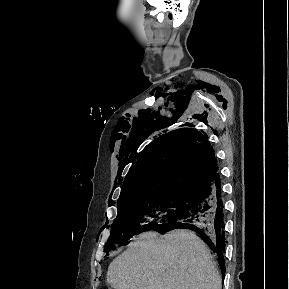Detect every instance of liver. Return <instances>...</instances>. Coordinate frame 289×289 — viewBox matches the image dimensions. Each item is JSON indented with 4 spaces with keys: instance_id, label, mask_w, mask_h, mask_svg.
<instances>
[{
    "instance_id": "obj_1",
    "label": "liver",
    "mask_w": 289,
    "mask_h": 289,
    "mask_svg": "<svg viewBox=\"0 0 289 289\" xmlns=\"http://www.w3.org/2000/svg\"><path fill=\"white\" fill-rule=\"evenodd\" d=\"M114 289H221L217 264L192 231L144 232L107 271Z\"/></svg>"
}]
</instances>
